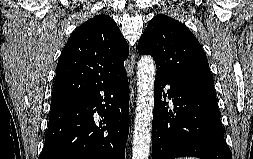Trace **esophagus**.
<instances>
[{
  "label": "esophagus",
  "instance_id": "esophagus-1",
  "mask_svg": "<svg viewBox=\"0 0 253 159\" xmlns=\"http://www.w3.org/2000/svg\"><path fill=\"white\" fill-rule=\"evenodd\" d=\"M134 67H135V56L133 55L130 60V68H131L132 73H134ZM134 97H135V89H134V84L132 81L131 82V94H130V100H131L132 106H133V102H134Z\"/></svg>",
  "mask_w": 253,
  "mask_h": 159
}]
</instances>
